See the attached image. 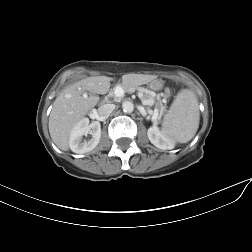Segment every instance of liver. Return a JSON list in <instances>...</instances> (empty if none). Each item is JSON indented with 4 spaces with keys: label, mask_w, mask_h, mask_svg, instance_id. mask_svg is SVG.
Returning a JSON list of instances; mask_svg holds the SVG:
<instances>
[{
    "label": "liver",
    "mask_w": 252,
    "mask_h": 252,
    "mask_svg": "<svg viewBox=\"0 0 252 252\" xmlns=\"http://www.w3.org/2000/svg\"><path fill=\"white\" fill-rule=\"evenodd\" d=\"M152 75L126 74L122 85L136 87L153 80ZM111 77L96 76L82 79L66 87L56 98L49 117V133L56 146L67 151L72 129L98 103L96 94H104Z\"/></svg>",
    "instance_id": "6515ba94"
}]
</instances>
